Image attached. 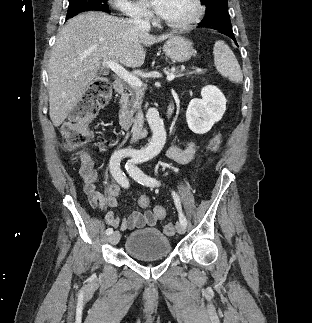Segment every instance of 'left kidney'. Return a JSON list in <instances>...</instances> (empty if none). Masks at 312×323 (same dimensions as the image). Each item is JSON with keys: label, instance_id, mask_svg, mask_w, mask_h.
I'll return each mask as SVG.
<instances>
[{"label": "left kidney", "instance_id": "5707ae66", "mask_svg": "<svg viewBox=\"0 0 312 323\" xmlns=\"http://www.w3.org/2000/svg\"><path fill=\"white\" fill-rule=\"evenodd\" d=\"M201 96L202 100H191L186 112L187 124L194 134H207L226 110L227 100L216 86H205Z\"/></svg>", "mask_w": 312, "mask_h": 323}]
</instances>
